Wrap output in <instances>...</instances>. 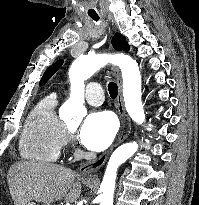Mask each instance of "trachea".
Listing matches in <instances>:
<instances>
[{"label": "trachea", "mask_w": 199, "mask_h": 205, "mask_svg": "<svg viewBox=\"0 0 199 205\" xmlns=\"http://www.w3.org/2000/svg\"><path fill=\"white\" fill-rule=\"evenodd\" d=\"M93 19H94L95 21H98V20H99L98 17H93ZM108 91H109L110 97H111L112 99L116 98L117 95H118V86H117V84L114 83V82H110V83L108 84Z\"/></svg>", "instance_id": "obj_1"}]
</instances>
